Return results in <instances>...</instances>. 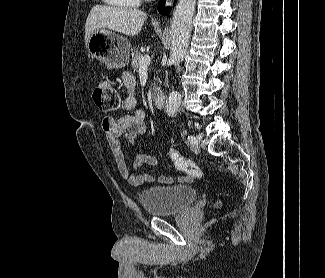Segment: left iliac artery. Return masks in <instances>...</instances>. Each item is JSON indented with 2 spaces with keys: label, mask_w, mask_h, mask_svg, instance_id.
<instances>
[{
  "label": "left iliac artery",
  "mask_w": 325,
  "mask_h": 278,
  "mask_svg": "<svg viewBox=\"0 0 325 278\" xmlns=\"http://www.w3.org/2000/svg\"><path fill=\"white\" fill-rule=\"evenodd\" d=\"M188 141L190 142V143H193V142H195V140H196V138L194 137V136H188Z\"/></svg>",
  "instance_id": "44dca946"
}]
</instances>
